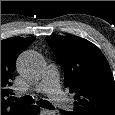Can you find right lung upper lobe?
<instances>
[{"instance_id":"cb5924a9","label":"right lung upper lobe","mask_w":115,"mask_h":115,"mask_svg":"<svg viewBox=\"0 0 115 115\" xmlns=\"http://www.w3.org/2000/svg\"><path fill=\"white\" fill-rule=\"evenodd\" d=\"M34 40V37L1 40V115H22L27 107V105L12 102L10 86L18 55Z\"/></svg>"}]
</instances>
